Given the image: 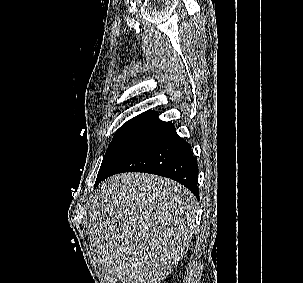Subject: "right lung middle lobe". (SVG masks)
<instances>
[{"label":"right lung middle lobe","mask_w":303,"mask_h":283,"mask_svg":"<svg viewBox=\"0 0 303 283\" xmlns=\"http://www.w3.org/2000/svg\"><path fill=\"white\" fill-rule=\"evenodd\" d=\"M156 119L157 118L154 117L136 116L124 123L115 133V136L107 149L97 178L105 175L123 153Z\"/></svg>","instance_id":"right-lung-middle-lobe-1"}]
</instances>
